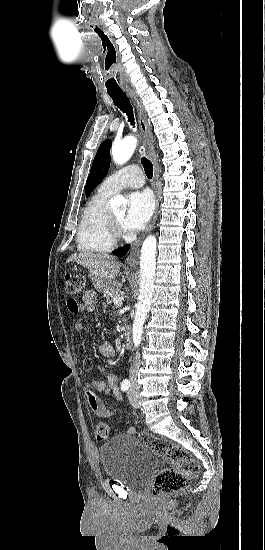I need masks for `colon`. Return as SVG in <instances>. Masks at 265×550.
Returning <instances> with one entry per match:
<instances>
[{
    "label": "colon",
    "mask_w": 265,
    "mask_h": 550,
    "mask_svg": "<svg viewBox=\"0 0 265 550\" xmlns=\"http://www.w3.org/2000/svg\"><path fill=\"white\" fill-rule=\"evenodd\" d=\"M64 283L66 292L69 295L79 296L85 293L86 280L80 274L73 272L65 273ZM81 306L82 303L76 299L68 303V307L73 313H78ZM136 434L142 444L149 447L170 465L169 468L161 470L155 477L151 488V494L154 498L161 499L182 490L188 485L191 479L198 476L199 465L184 448L146 431H140ZM108 436V424L103 421L99 422L96 425L97 439L103 441Z\"/></svg>",
    "instance_id": "1"
}]
</instances>
